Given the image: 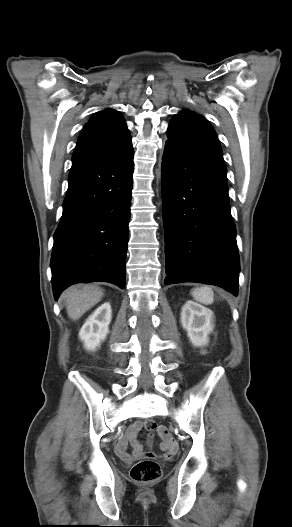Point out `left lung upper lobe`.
I'll return each instance as SVG.
<instances>
[{"label":"left lung upper lobe","mask_w":292,"mask_h":527,"mask_svg":"<svg viewBox=\"0 0 292 527\" xmlns=\"http://www.w3.org/2000/svg\"><path fill=\"white\" fill-rule=\"evenodd\" d=\"M168 140L190 153L223 160L222 150L214 129L207 120L191 111L184 110L174 116L169 124Z\"/></svg>","instance_id":"1"}]
</instances>
